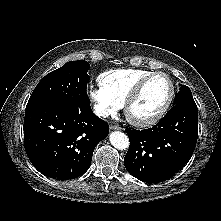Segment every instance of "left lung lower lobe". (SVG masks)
<instances>
[{
    "instance_id": "0a47b994",
    "label": "left lung lower lobe",
    "mask_w": 221,
    "mask_h": 221,
    "mask_svg": "<svg viewBox=\"0 0 221 221\" xmlns=\"http://www.w3.org/2000/svg\"><path fill=\"white\" fill-rule=\"evenodd\" d=\"M130 147L124 158L128 172L143 182L167 180L190 160L198 136V108L176 104L155 126L126 129Z\"/></svg>"
}]
</instances>
